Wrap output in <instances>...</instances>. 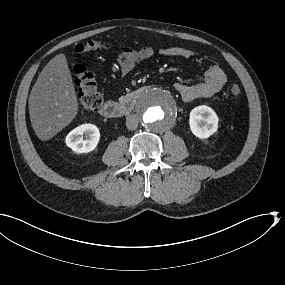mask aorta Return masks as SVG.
I'll return each instance as SVG.
<instances>
[{
	"label": "aorta",
	"instance_id": "obj_1",
	"mask_svg": "<svg viewBox=\"0 0 285 285\" xmlns=\"http://www.w3.org/2000/svg\"><path fill=\"white\" fill-rule=\"evenodd\" d=\"M133 111L139 125L154 134L171 130L180 115L179 104L174 94L159 85L142 89L134 100Z\"/></svg>",
	"mask_w": 285,
	"mask_h": 285
}]
</instances>
